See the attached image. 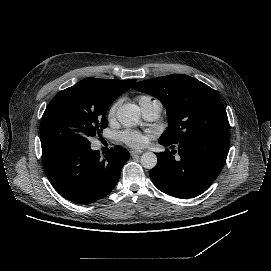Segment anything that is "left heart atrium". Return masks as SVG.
Masks as SVG:
<instances>
[{"instance_id":"left-heart-atrium-1","label":"left heart atrium","mask_w":271,"mask_h":271,"mask_svg":"<svg viewBox=\"0 0 271 271\" xmlns=\"http://www.w3.org/2000/svg\"><path fill=\"white\" fill-rule=\"evenodd\" d=\"M119 139L126 145L133 148L144 147L148 142V136L137 130L122 131L119 134Z\"/></svg>"}]
</instances>
